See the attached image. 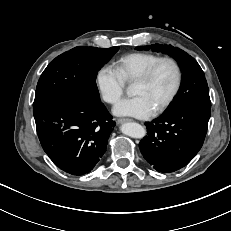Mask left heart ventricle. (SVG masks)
<instances>
[{"mask_svg":"<svg viewBox=\"0 0 231 231\" xmlns=\"http://www.w3.org/2000/svg\"><path fill=\"white\" fill-rule=\"evenodd\" d=\"M175 82V69L172 64L166 62L159 66L148 82H135L132 92L135 96H144L156 109L169 96Z\"/></svg>","mask_w":231,"mask_h":231,"instance_id":"b2bd125f","label":"left heart ventricle"}]
</instances>
